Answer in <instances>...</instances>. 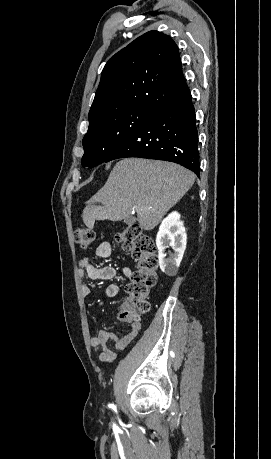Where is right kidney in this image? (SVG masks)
I'll return each mask as SVG.
<instances>
[{
    "label": "right kidney",
    "mask_w": 271,
    "mask_h": 459,
    "mask_svg": "<svg viewBox=\"0 0 271 459\" xmlns=\"http://www.w3.org/2000/svg\"><path fill=\"white\" fill-rule=\"evenodd\" d=\"M186 239L187 235L183 222L180 220V214L172 212L163 220L156 235L160 269L167 275H176L178 273V267L186 249ZM169 245H172L174 253H171V251L165 253V249Z\"/></svg>",
    "instance_id": "1"
}]
</instances>
